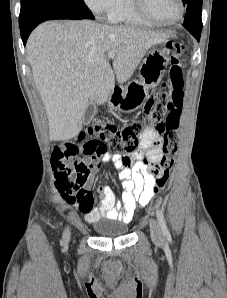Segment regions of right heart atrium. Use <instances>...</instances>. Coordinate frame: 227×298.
<instances>
[{"instance_id": "d8ad5b80", "label": "right heart atrium", "mask_w": 227, "mask_h": 298, "mask_svg": "<svg viewBox=\"0 0 227 298\" xmlns=\"http://www.w3.org/2000/svg\"><path fill=\"white\" fill-rule=\"evenodd\" d=\"M86 6L96 15H107L116 5L117 0H83Z\"/></svg>"}]
</instances>
